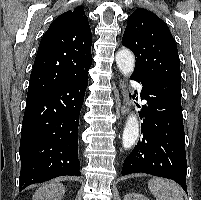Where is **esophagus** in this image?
<instances>
[{
  "label": "esophagus",
  "instance_id": "1",
  "mask_svg": "<svg viewBox=\"0 0 201 200\" xmlns=\"http://www.w3.org/2000/svg\"><path fill=\"white\" fill-rule=\"evenodd\" d=\"M119 88H120L121 95H122L123 105L122 106L119 105L117 107V113H118V115H120V114L125 115L127 112L125 105L128 103V96H127L124 84L122 82H120Z\"/></svg>",
  "mask_w": 201,
  "mask_h": 200
}]
</instances>
